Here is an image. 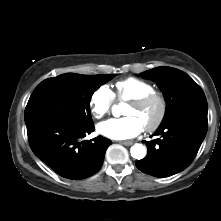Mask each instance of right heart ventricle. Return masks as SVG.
<instances>
[{
    "label": "right heart ventricle",
    "mask_w": 221,
    "mask_h": 221,
    "mask_svg": "<svg viewBox=\"0 0 221 221\" xmlns=\"http://www.w3.org/2000/svg\"><path fill=\"white\" fill-rule=\"evenodd\" d=\"M115 89L118 100L128 102L155 91L151 83L134 77L118 81Z\"/></svg>",
    "instance_id": "e07e8e85"
}]
</instances>
